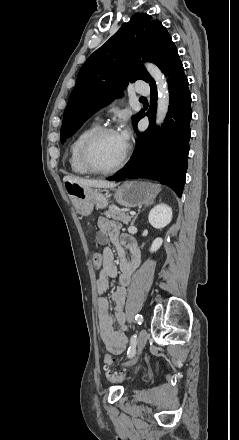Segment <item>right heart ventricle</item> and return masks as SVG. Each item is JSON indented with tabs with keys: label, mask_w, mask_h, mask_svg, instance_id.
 Wrapping results in <instances>:
<instances>
[{
	"label": "right heart ventricle",
	"mask_w": 239,
	"mask_h": 440,
	"mask_svg": "<svg viewBox=\"0 0 239 440\" xmlns=\"http://www.w3.org/2000/svg\"><path fill=\"white\" fill-rule=\"evenodd\" d=\"M97 128L95 123L79 131L71 141L68 152V163L71 171L78 175H89L90 172L83 166L80 159V149L84 140Z\"/></svg>",
	"instance_id": "1"
}]
</instances>
